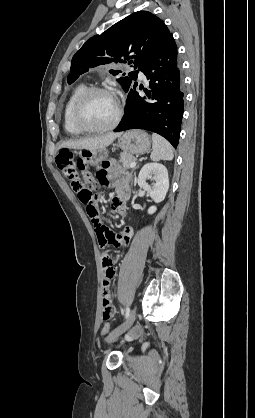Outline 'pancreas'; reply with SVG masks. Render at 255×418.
Masks as SVG:
<instances>
[{"label":"pancreas","mask_w":255,"mask_h":418,"mask_svg":"<svg viewBox=\"0 0 255 418\" xmlns=\"http://www.w3.org/2000/svg\"><path fill=\"white\" fill-rule=\"evenodd\" d=\"M136 161V158L133 155L122 153L120 155V162L122 163L123 169H127L130 167L132 162Z\"/></svg>","instance_id":"1"}]
</instances>
